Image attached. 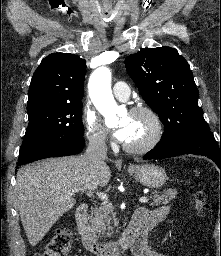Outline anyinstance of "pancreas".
<instances>
[{"instance_id":"obj_1","label":"pancreas","mask_w":221,"mask_h":256,"mask_svg":"<svg viewBox=\"0 0 221 256\" xmlns=\"http://www.w3.org/2000/svg\"><path fill=\"white\" fill-rule=\"evenodd\" d=\"M176 195L177 191L175 189L165 190L162 194L154 192L153 201L150 206L168 204ZM110 223L117 224L112 204L104 202L99 207L91 209L89 225L94 234L98 235V237L110 236L113 231V227L110 226Z\"/></svg>"}]
</instances>
